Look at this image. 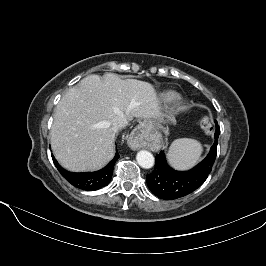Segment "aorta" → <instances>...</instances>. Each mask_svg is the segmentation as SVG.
Masks as SVG:
<instances>
[{
  "label": "aorta",
  "instance_id": "1",
  "mask_svg": "<svg viewBox=\"0 0 266 266\" xmlns=\"http://www.w3.org/2000/svg\"><path fill=\"white\" fill-rule=\"evenodd\" d=\"M136 160L137 163L145 169H150L153 167L154 165V156L152 155V153H150L149 151L146 150H141L137 153L136 156Z\"/></svg>",
  "mask_w": 266,
  "mask_h": 266
}]
</instances>
